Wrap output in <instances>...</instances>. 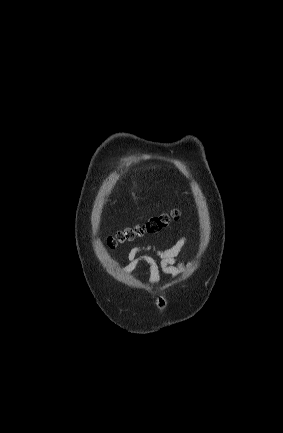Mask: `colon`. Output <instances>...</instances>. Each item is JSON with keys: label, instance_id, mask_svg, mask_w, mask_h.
Instances as JSON below:
<instances>
[{"label": "colon", "instance_id": "colon-1", "mask_svg": "<svg viewBox=\"0 0 283 433\" xmlns=\"http://www.w3.org/2000/svg\"><path fill=\"white\" fill-rule=\"evenodd\" d=\"M177 217V212L150 217L143 224L126 228L118 232L115 236L110 237L108 240V246L114 248L118 244L131 241L144 233L158 232L162 228L166 227L172 219H176Z\"/></svg>", "mask_w": 283, "mask_h": 433}]
</instances>
